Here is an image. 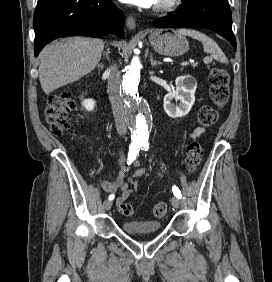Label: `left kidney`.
<instances>
[{
	"label": "left kidney",
	"instance_id": "left-kidney-1",
	"mask_svg": "<svg viewBox=\"0 0 272 282\" xmlns=\"http://www.w3.org/2000/svg\"><path fill=\"white\" fill-rule=\"evenodd\" d=\"M176 90L169 92L164 97V110L171 118L184 117L191 110L195 102L196 81L189 75L179 76L175 80ZM180 100L175 106L172 100Z\"/></svg>",
	"mask_w": 272,
	"mask_h": 282
}]
</instances>
